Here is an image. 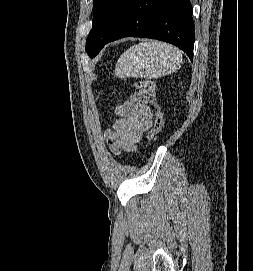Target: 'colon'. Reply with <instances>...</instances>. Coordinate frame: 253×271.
Listing matches in <instances>:
<instances>
[{"label": "colon", "mask_w": 253, "mask_h": 271, "mask_svg": "<svg viewBox=\"0 0 253 271\" xmlns=\"http://www.w3.org/2000/svg\"><path fill=\"white\" fill-rule=\"evenodd\" d=\"M138 89H139V92L147 94L151 97H154L155 95V85L151 81H147V80L140 81L138 83ZM154 106L157 110V113H156L154 126L151 128V130L147 134V140L149 142L155 141L160 136L162 132V126H163L161 114L159 111V106L156 102H154Z\"/></svg>", "instance_id": "obj_1"}]
</instances>
